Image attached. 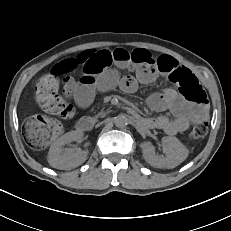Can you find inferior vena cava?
Returning <instances> with one entry per match:
<instances>
[{"mask_svg":"<svg viewBox=\"0 0 231 231\" xmlns=\"http://www.w3.org/2000/svg\"><path fill=\"white\" fill-rule=\"evenodd\" d=\"M104 125H105V122H104V121H100L99 123H97V124L94 125V128H95V129H98V128H100L101 126H104Z\"/></svg>","mask_w":231,"mask_h":231,"instance_id":"1","label":"inferior vena cava"}]
</instances>
